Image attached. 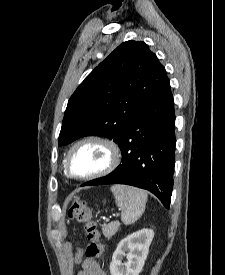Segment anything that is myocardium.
<instances>
[{
    "label": "myocardium",
    "instance_id": "f54148a6",
    "mask_svg": "<svg viewBox=\"0 0 225 275\" xmlns=\"http://www.w3.org/2000/svg\"><path fill=\"white\" fill-rule=\"evenodd\" d=\"M88 143H94L104 147L108 154V161L106 165L98 171L85 174V175L74 174L70 168L71 155L79 146L88 144ZM120 159H121V152L118 145L115 142L99 136H87L76 141L70 147L64 160V170L66 174L71 178L81 179V180H91V179L99 178L111 173L119 165Z\"/></svg>",
    "mask_w": 225,
    "mask_h": 275
}]
</instances>
